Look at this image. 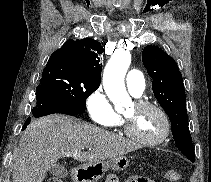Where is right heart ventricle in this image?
<instances>
[{
	"label": "right heart ventricle",
	"mask_w": 211,
	"mask_h": 182,
	"mask_svg": "<svg viewBox=\"0 0 211 182\" xmlns=\"http://www.w3.org/2000/svg\"><path fill=\"white\" fill-rule=\"evenodd\" d=\"M120 117V116H119ZM117 126H121L122 125V119L120 118L119 122L116 124Z\"/></svg>",
	"instance_id": "1"
}]
</instances>
